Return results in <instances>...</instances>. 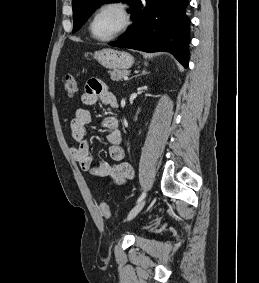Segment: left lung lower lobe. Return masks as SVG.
I'll return each instance as SVG.
<instances>
[{"label": "left lung lower lobe", "mask_w": 259, "mask_h": 283, "mask_svg": "<svg viewBox=\"0 0 259 283\" xmlns=\"http://www.w3.org/2000/svg\"><path fill=\"white\" fill-rule=\"evenodd\" d=\"M188 0H134V23L114 47L146 52L167 51L184 66L189 59V23L185 14Z\"/></svg>", "instance_id": "1"}]
</instances>
